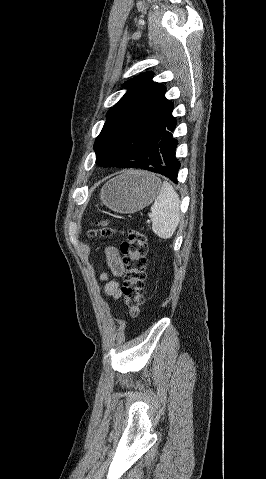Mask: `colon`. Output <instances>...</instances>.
Returning a JSON list of instances; mask_svg holds the SVG:
<instances>
[{"label": "colon", "mask_w": 266, "mask_h": 479, "mask_svg": "<svg viewBox=\"0 0 266 479\" xmlns=\"http://www.w3.org/2000/svg\"><path fill=\"white\" fill-rule=\"evenodd\" d=\"M116 230L108 225L107 221L95 222L94 228L89 230L90 237H109ZM124 255L125 277L122 284L124 304L133 317L138 316L145 301L144 287L147 266V237L138 229H130L126 239L121 244Z\"/></svg>", "instance_id": "1"}]
</instances>
